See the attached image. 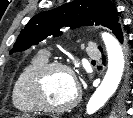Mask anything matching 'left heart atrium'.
Masks as SVG:
<instances>
[{
    "instance_id": "left-heart-atrium-1",
    "label": "left heart atrium",
    "mask_w": 133,
    "mask_h": 118,
    "mask_svg": "<svg viewBox=\"0 0 133 118\" xmlns=\"http://www.w3.org/2000/svg\"><path fill=\"white\" fill-rule=\"evenodd\" d=\"M73 84H74L75 89H77V82L75 80H73Z\"/></svg>"
}]
</instances>
